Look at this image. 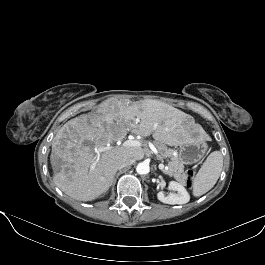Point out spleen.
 <instances>
[{
  "instance_id": "obj_1",
  "label": "spleen",
  "mask_w": 265,
  "mask_h": 265,
  "mask_svg": "<svg viewBox=\"0 0 265 265\" xmlns=\"http://www.w3.org/2000/svg\"><path fill=\"white\" fill-rule=\"evenodd\" d=\"M223 167V156L220 151L212 152L194 177L193 195L199 197L214 187Z\"/></svg>"
}]
</instances>
